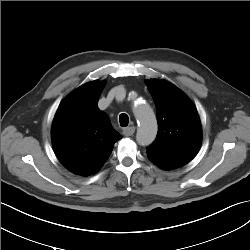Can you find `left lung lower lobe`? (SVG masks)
Masks as SVG:
<instances>
[{
    "mask_svg": "<svg viewBox=\"0 0 250 250\" xmlns=\"http://www.w3.org/2000/svg\"><path fill=\"white\" fill-rule=\"evenodd\" d=\"M147 157L151 162H153L155 165L164 170L179 168L189 162L187 160L165 158L161 156L152 155L149 153H147Z\"/></svg>",
    "mask_w": 250,
    "mask_h": 250,
    "instance_id": "left-lung-lower-lobe-1",
    "label": "left lung lower lobe"
}]
</instances>
